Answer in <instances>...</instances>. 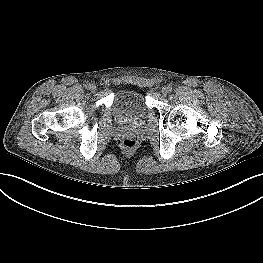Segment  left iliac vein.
Wrapping results in <instances>:
<instances>
[{
    "mask_svg": "<svg viewBox=\"0 0 263 263\" xmlns=\"http://www.w3.org/2000/svg\"><path fill=\"white\" fill-rule=\"evenodd\" d=\"M162 93H163L164 95H166L167 93H169L167 87H163Z\"/></svg>",
    "mask_w": 263,
    "mask_h": 263,
    "instance_id": "left-iliac-vein-1",
    "label": "left iliac vein"
}]
</instances>
